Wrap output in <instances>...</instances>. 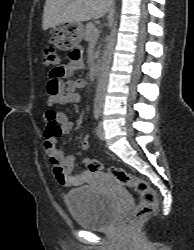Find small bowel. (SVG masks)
Segmentation results:
<instances>
[{
	"label": "small bowel",
	"mask_w": 194,
	"mask_h": 250,
	"mask_svg": "<svg viewBox=\"0 0 194 250\" xmlns=\"http://www.w3.org/2000/svg\"><path fill=\"white\" fill-rule=\"evenodd\" d=\"M83 65L82 59L77 61L71 59L69 64L54 71L61 72V75H55L53 72L47 82L48 97L46 105L48 110L44 114L45 137L43 147L57 181L67 187L83 184L91 177V173L85 170L78 175L72 174L75 166L74 156L66 154L63 149L58 148L56 139L60 135L69 134L74 123L65 112L55 111L52 107L56 104L64 105L79 101L77 90L85 88V80L65 81L64 78L70 76L75 70L81 69Z\"/></svg>",
	"instance_id": "c3829d8e"
}]
</instances>
